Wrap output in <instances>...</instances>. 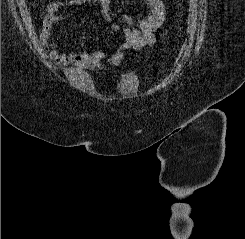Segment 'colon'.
I'll return each mask as SVG.
<instances>
[{
  "label": "colon",
  "mask_w": 245,
  "mask_h": 239,
  "mask_svg": "<svg viewBox=\"0 0 245 239\" xmlns=\"http://www.w3.org/2000/svg\"><path fill=\"white\" fill-rule=\"evenodd\" d=\"M42 35H43L44 38H47L50 35V31L43 30Z\"/></svg>",
  "instance_id": "5ec220e1"
}]
</instances>
